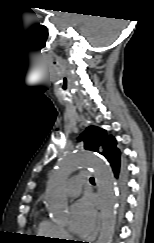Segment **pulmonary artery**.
<instances>
[{
	"label": "pulmonary artery",
	"instance_id": "pulmonary-artery-1",
	"mask_svg": "<svg viewBox=\"0 0 154 243\" xmlns=\"http://www.w3.org/2000/svg\"><path fill=\"white\" fill-rule=\"evenodd\" d=\"M88 172L81 170L78 174L72 176L65 184L64 190L67 195L75 196L81 190V183L86 178Z\"/></svg>",
	"mask_w": 154,
	"mask_h": 243
}]
</instances>
